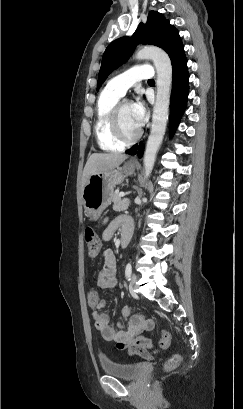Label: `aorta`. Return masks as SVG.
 <instances>
[{"mask_svg": "<svg viewBox=\"0 0 243 409\" xmlns=\"http://www.w3.org/2000/svg\"><path fill=\"white\" fill-rule=\"evenodd\" d=\"M138 60L151 59L157 72V93L154 105L151 132L144 153L145 178L149 177L162 143L169 114L170 94L172 87V65L167 53L154 46H146L135 53Z\"/></svg>", "mask_w": 243, "mask_h": 409, "instance_id": "aorta-1", "label": "aorta"}]
</instances>
